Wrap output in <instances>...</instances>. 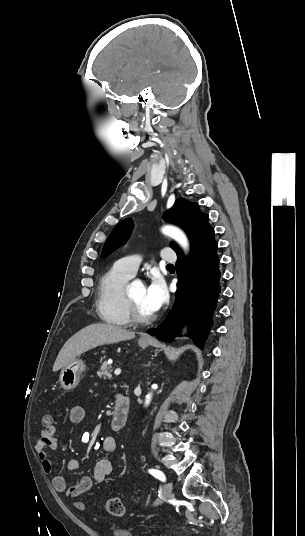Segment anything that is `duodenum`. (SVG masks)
<instances>
[{"label":"duodenum","instance_id":"410a0bca","mask_svg":"<svg viewBox=\"0 0 305 536\" xmlns=\"http://www.w3.org/2000/svg\"><path fill=\"white\" fill-rule=\"evenodd\" d=\"M129 409V400L123 394H118L115 398L114 411L111 420V427L114 430H119L126 425L129 417Z\"/></svg>","mask_w":305,"mask_h":536}]
</instances>
